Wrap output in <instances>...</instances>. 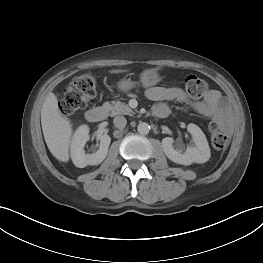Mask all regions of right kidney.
<instances>
[{
  "mask_svg": "<svg viewBox=\"0 0 263 263\" xmlns=\"http://www.w3.org/2000/svg\"><path fill=\"white\" fill-rule=\"evenodd\" d=\"M98 137L100 139L98 151L93 154H85L84 146L89 140V127L81 125L77 128L72 137L70 148L71 159L76 167L84 168L88 165H98L106 158L111 138L107 134Z\"/></svg>",
  "mask_w": 263,
  "mask_h": 263,
  "instance_id": "1",
  "label": "right kidney"
}]
</instances>
